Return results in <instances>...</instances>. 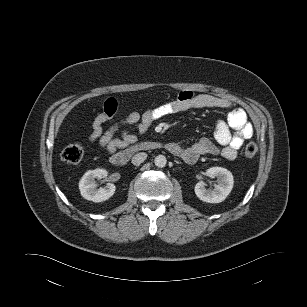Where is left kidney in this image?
Masks as SVG:
<instances>
[{"label": "left kidney", "instance_id": "5707ae66", "mask_svg": "<svg viewBox=\"0 0 307 307\" xmlns=\"http://www.w3.org/2000/svg\"><path fill=\"white\" fill-rule=\"evenodd\" d=\"M205 175L211 178H217L218 183L214 185L213 190H207L205 183L199 181L195 186L196 196L207 203H220L226 199L233 188L234 180L232 173L222 167H211Z\"/></svg>", "mask_w": 307, "mask_h": 307}]
</instances>
